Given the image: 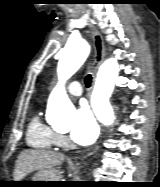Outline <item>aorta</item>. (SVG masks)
I'll use <instances>...</instances> for the list:
<instances>
[{
    "instance_id": "aorta-1",
    "label": "aorta",
    "mask_w": 160,
    "mask_h": 187,
    "mask_svg": "<svg viewBox=\"0 0 160 187\" xmlns=\"http://www.w3.org/2000/svg\"><path fill=\"white\" fill-rule=\"evenodd\" d=\"M89 51V45L84 39L71 40L63 49L57 67L59 83L51 92L48 100L47 118L50 123L65 119L73 110L64 84L82 66L89 55ZM118 74L117 59L106 60L99 68L91 97V105L96 117L107 126L111 125L115 119L109 98Z\"/></svg>"
}]
</instances>
